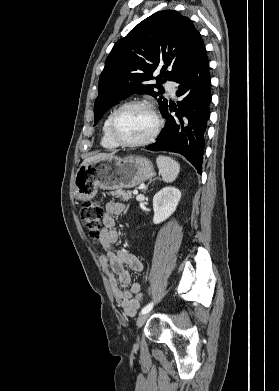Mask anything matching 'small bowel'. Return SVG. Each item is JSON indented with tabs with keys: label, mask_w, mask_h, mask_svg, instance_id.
I'll list each match as a JSON object with an SVG mask.
<instances>
[{
	"label": "small bowel",
	"mask_w": 279,
	"mask_h": 391,
	"mask_svg": "<svg viewBox=\"0 0 279 391\" xmlns=\"http://www.w3.org/2000/svg\"><path fill=\"white\" fill-rule=\"evenodd\" d=\"M123 209V204L113 201L105 206L103 229L99 238L104 251L100 256V264L107 271L114 298L122 311L128 316H134L140 306L136 296L141 292V285L138 282L131 283L130 273L125 266L140 272L144 265L135 255L114 246L119 238L114 216L121 214Z\"/></svg>",
	"instance_id": "1"
}]
</instances>
